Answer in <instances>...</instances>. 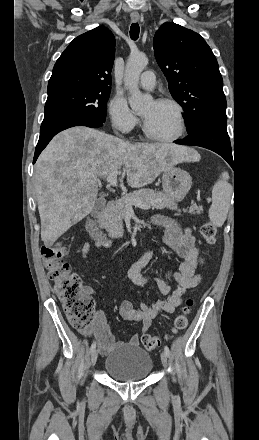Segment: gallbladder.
Masks as SVG:
<instances>
[{
    "instance_id": "bac80fb5",
    "label": "gallbladder",
    "mask_w": 259,
    "mask_h": 440,
    "mask_svg": "<svg viewBox=\"0 0 259 440\" xmlns=\"http://www.w3.org/2000/svg\"><path fill=\"white\" fill-rule=\"evenodd\" d=\"M103 208H104L103 204L100 201H97L92 209V212H91L92 216L98 217L100 215V213L102 212Z\"/></svg>"
}]
</instances>
